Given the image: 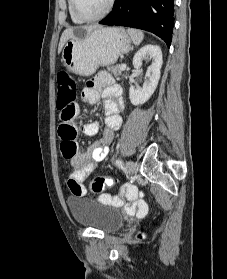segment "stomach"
Here are the masks:
<instances>
[{
  "instance_id": "0dacf381",
  "label": "stomach",
  "mask_w": 227,
  "mask_h": 279,
  "mask_svg": "<svg viewBox=\"0 0 227 279\" xmlns=\"http://www.w3.org/2000/svg\"><path fill=\"white\" fill-rule=\"evenodd\" d=\"M69 39L62 49V63L72 73L90 76L100 66H110L131 49V37L122 28L99 27Z\"/></svg>"
}]
</instances>
